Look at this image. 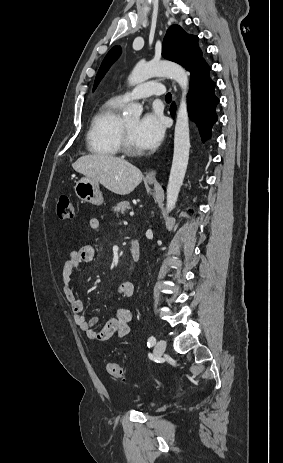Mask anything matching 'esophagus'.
Returning a JSON list of instances; mask_svg holds the SVG:
<instances>
[{
	"instance_id": "34e87169",
	"label": "esophagus",
	"mask_w": 283,
	"mask_h": 463,
	"mask_svg": "<svg viewBox=\"0 0 283 463\" xmlns=\"http://www.w3.org/2000/svg\"><path fill=\"white\" fill-rule=\"evenodd\" d=\"M145 179L149 182H155L156 181V169L150 170L147 174Z\"/></svg>"
}]
</instances>
